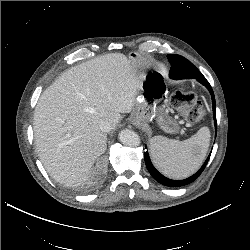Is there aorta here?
<instances>
[{"instance_id": "1", "label": "aorta", "mask_w": 250, "mask_h": 250, "mask_svg": "<svg viewBox=\"0 0 250 250\" xmlns=\"http://www.w3.org/2000/svg\"><path fill=\"white\" fill-rule=\"evenodd\" d=\"M119 140L122 144L131 147H135L140 144V138L138 134L129 129H124L120 131Z\"/></svg>"}]
</instances>
